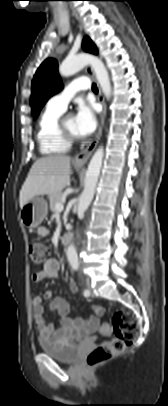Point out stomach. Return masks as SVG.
<instances>
[{
    "mask_svg": "<svg viewBox=\"0 0 168 406\" xmlns=\"http://www.w3.org/2000/svg\"><path fill=\"white\" fill-rule=\"evenodd\" d=\"M48 213V204L42 197L35 196L20 211L21 222L28 228L41 224Z\"/></svg>",
    "mask_w": 168,
    "mask_h": 406,
    "instance_id": "0dacf381",
    "label": "stomach"
}]
</instances>
